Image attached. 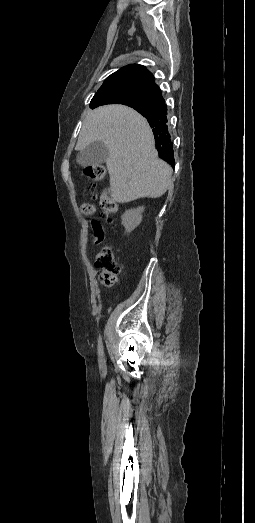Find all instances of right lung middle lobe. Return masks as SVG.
<instances>
[{"label":"right lung middle lobe","mask_w":255,"mask_h":523,"mask_svg":"<svg viewBox=\"0 0 255 523\" xmlns=\"http://www.w3.org/2000/svg\"><path fill=\"white\" fill-rule=\"evenodd\" d=\"M105 98L118 103L143 102L147 100V94L142 90L130 89L119 92H110L105 95Z\"/></svg>","instance_id":"dd1d6c3e"}]
</instances>
